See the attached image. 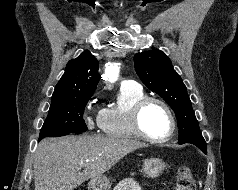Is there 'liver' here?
<instances>
[{
    "label": "liver",
    "instance_id": "liver-1",
    "mask_svg": "<svg viewBox=\"0 0 238 190\" xmlns=\"http://www.w3.org/2000/svg\"><path fill=\"white\" fill-rule=\"evenodd\" d=\"M144 146L110 137L46 138L34 155L35 190H73L88 179L103 176L124 156Z\"/></svg>",
    "mask_w": 238,
    "mask_h": 190
}]
</instances>
